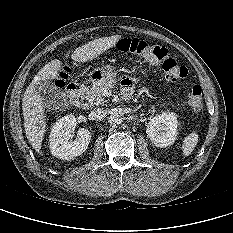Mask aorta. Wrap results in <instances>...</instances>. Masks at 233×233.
<instances>
[{
    "instance_id": "762f6f07",
    "label": "aorta",
    "mask_w": 233,
    "mask_h": 233,
    "mask_svg": "<svg viewBox=\"0 0 233 233\" xmlns=\"http://www.w3.org/2000/svg\"><path fill=\"white\" fill-rule=\"evenodd\" d=\"M108 122L111 126H118L123 122V118L119 114H112L108 118Z\"/></svg>"
}]
</instances>
